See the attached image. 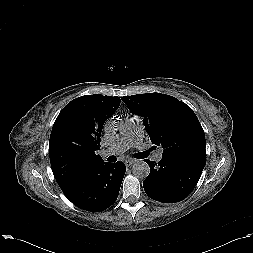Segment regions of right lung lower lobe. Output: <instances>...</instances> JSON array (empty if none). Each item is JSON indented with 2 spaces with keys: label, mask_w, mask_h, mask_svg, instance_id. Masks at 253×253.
<instances>
[{
  "label": "right lung lower lobe",
  "mask_w": 253,
  "mask_h": 253,
  "mask_svg": "<svg viewBox=\"0 0 253 253\" xmlns=\"http://www.w3.org/2000/svg\"><path fill=\"white\" fill-rule=\"evenodd\" d=\"M125 171L123 162H102L75 176L60 188L77 207L100 212L116 201Z\"/></svg>",
  "instance_id": "obj_1"
}]
</instances>
